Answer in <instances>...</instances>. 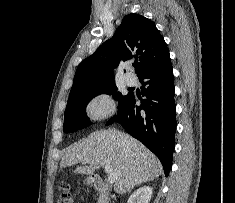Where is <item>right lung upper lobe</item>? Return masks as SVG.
Segmentation results:
<instances>
[{
  "label": "right lung upper lobe",
  "instance_id": "1",
  "mask_svg": "<svg viewBox=\"0 0 235 203\" xmlns=\"http://www.w3.org/2000/svg\"><path fill=\"white\" fill-rule=\"evenodd\" d=\"M133 57L139 58L138 77L170 59L164 38L154 22L139 14L125 16L113 37L79 64L70 93L114 81L112 68Z\"/></svg>",
  "mask_w": 235,
  "mask_h": 203
}]
</instances>
